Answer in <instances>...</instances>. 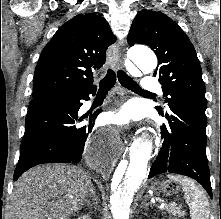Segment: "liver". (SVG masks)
<instances>
[{"mask_svg":"<svg viewBox=\"0 0 221 219\" xmlns=\"http://www.w3.org/2000/svg\"><path fill=\"white\" fill-rule=\"evenodd\" d=\"M93 185L81 168L55 164L34 167L14 184L10 219H70L78 212Z\"/></svg>","mask_w":221,"mask_h":219,"instance_id":"liver-1","label":"liver"}]
</instances>
